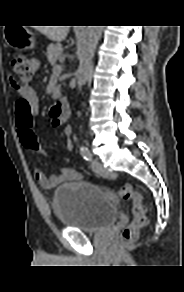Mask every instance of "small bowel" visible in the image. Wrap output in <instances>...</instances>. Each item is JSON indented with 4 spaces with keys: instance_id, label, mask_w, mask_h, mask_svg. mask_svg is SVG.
<instances>
[{
    "instance_id": "1",
    "label": "small bowel",
    "mask_w": 184,
    "mask_h": 292,
    "mask_svg": "<svg viewBox=\"0 0 184 292\" xmlns=\"http://www.w3.org/2000/svg\"><path fill=\"white\" fill-rule=\"evenodd\" d=\"M53 126L55 127H61L63 125L62 122L57 121L56 119H53L52 121ZM17 132L19 135V128L16 124ZM63 135L67 138L65 147L67 151L73 150V143L70 140V136L72 133V129L70 126H64L62 130ZM35 178L38 181V183L44 187L45 189L51 190L57 187L58 185L65 183V182H71V181H78L81 179V174L76 169H73L71 167H63L59 173L56 174H47L44 170L35 169Z\"/></svg>"
}]
</instances>
